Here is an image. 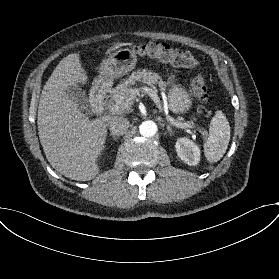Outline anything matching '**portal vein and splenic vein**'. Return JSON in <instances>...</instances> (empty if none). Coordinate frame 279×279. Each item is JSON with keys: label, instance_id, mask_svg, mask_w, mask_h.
<instances>
[{"label": "portal vein and splenic vein", "instance_id": "18ae733b", "mask_svg": "<svg viewBox=\"0 0 279 279\" xmlns=\"http://www.w3.org/2000/svg\"><path fill=\"white\" fill-rule=\"evenodd\" d=\"M140 92L147 93L150 97L153 98V100L155 102H158V96H157L156 92L152 88H149L147 86H143V87L140 86V87H137V88H135L133 90V93L135 95H137ZM106 111L109 114H117V113H119V110L117 109V107L115 105H112V104L107 106ZM167 118H168L170 123L174 124L178 128H181V129L182 128L194 129V125L191 122L178 123V122L174 121L172 118H170L169 116H167Z\"/></svg>", "mask_w": 279, "mask_h": 279}]
</instances>
